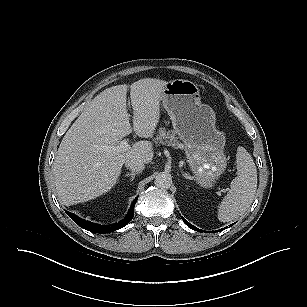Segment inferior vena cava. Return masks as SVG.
I'll return each instance as SVG.
<instances>
[{
    "label": "inferior vena cava",
    "mask_w": 307,
    "mask_h": 307,
    "mask_svg": "<svg viewBox=\"0 0 307 307\" xmlns=\"http://www.w3.org/2000/svg\"><path fill=\"white\" fill-rule=\"evenodd\" d=\"M125 166L132 171H136L138 173L142 172L145 168L144 162L135 158L127 159L125 161Z\"/></svg>",
    "instance_id": "1"
}]
</instances>
